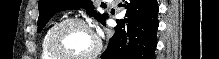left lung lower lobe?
Returning a JSON list of instances; mask_svg holds the SVG:
<instances>
[{"instance_id":"1","label":"left lung lower lobe","mask_w":219,"mask_h":59,"mask_svg":"<svg viewBox=\"0 0 219 59\" xmlns=\"http://www.w3.org/2000/svg\"><path fill=\"white\" fill-rule=\"evenodd\" d=\"M122 6L127 9L126 17L117 21L115 33L101 58L154 59L159 25L157 1L127 0Z\"/></svg>"}]
</instances>
